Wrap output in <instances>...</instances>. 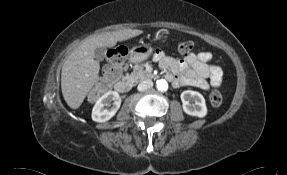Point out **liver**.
I'll use <instances>...</instances> for the list:
<instances>
[{"label":"liver","mask_w":287,"mask_h":175,"mask_svg":"<svg viewBox=\"0 0 287 175\" xmlns=\"http://www.w3.org/2000/svg\"><path fill=\"white\" fill-rule=\"evenodd\" d=\"M142 33V30L122 29L93 35L68 55L62 67L61 90L70 108H79L99 80L100 64L95 60L96 48H111L118 41H125Z\"/></svg>","instance_id":"obj_1"}]
</instances>
